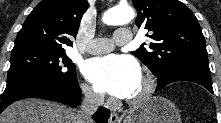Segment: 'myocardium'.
Wrapping results in <instances>:
<instances>
[{"instance_id":"obj_1","label":"myocardium","mask_w":221,"mask_h":123,"mask_svg":"<svg viewBox=\"0 0 221 123\" xmlns=\"http://www.w3.org/2000/svg\"><path fill=\"white\" fill-rule=\"evenodd\" d=\"M142 81V89L141 91L133 97L127 98L126 102L129 105H139L146 101L155 91L156 88V80L155 78L150 74H143L140 77Z\"/></svg>"}]
</instances>
